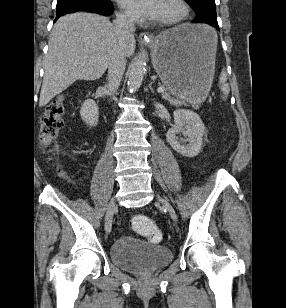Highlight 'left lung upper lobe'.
Wrapping results in <instances>:
<instances>
[{
	"mask_svg": "<svg viewBox=\"0 0 286 308\" xmlns=\"http://www.w3.org/2000/svg\"><path fill=\"white\" fill-rule=\"evenodd\" d=\"M197 13L206 9H216L214 0H185Z\"/></svg>",
	"mask_w": 286,
	"mask_h": 308,
	"instance_id": "5c2ea615",
	"label": "left lung upper lobe"
}]
</instances>
